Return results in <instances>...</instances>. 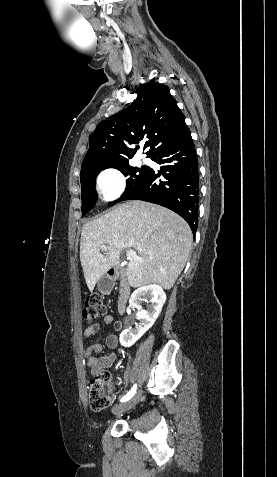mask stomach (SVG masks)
Wrapping results in <instances>:
<instances>
[{
  "label": "stomach",
  "mask_w": 277,
  "mask_h": 477,
  "mask_svg": "<svg viewBox=\"0 0 277 477\" xmlns=\"http://www.w3.org/2000/svg\"><path fill=\"white\" fill-rule=\"evenodd\" d=\"M98 290L102 293H108L113 287V282L107 276H103L98 280Z\"/></svg>",
  "instance_id": "obj_1"
}]
</instances>
